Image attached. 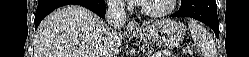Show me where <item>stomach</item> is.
<instances>
[{
  "label": "stomach",
  "mask_w": 249,
  "mask_h": 57,
  "mask_svg": "<svg viewBox=\"0 0 249 57\" xmlns=\"http://www.w3.org/2000/svg\"><path fill=\"white\" fill-rule=\"evenodd\" d=\"M186 34L183 23L175 19L157 20L138 32L133 33L145 43L172 49L182 43Z\"/></svg>",
  "instance_id": "1"
}]
</instances>
